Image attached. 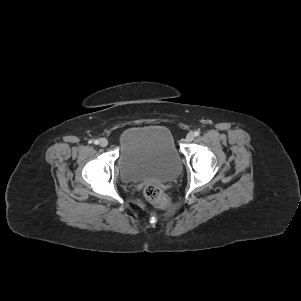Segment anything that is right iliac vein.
Returning a JSON list of instances; mask_svg holds the SVG:
<instances>
[{
	"instance_id": "63e3f726",
	"label": "right iliac vein",
	"mask_w": 301,
	"mask_h": 301,
	"mask_svg": "<svg viewBox=\"0 0 301 301\" xmlns=\"http://www.w3.org/2000/svg\"><path fill=\"white\" fill-rule=\"evenodd\" d=\"M99 145H100L101 147H106V146L108 145L107 139L101 138V139L99 140Z\"/></svg>"
}]
</instances>
